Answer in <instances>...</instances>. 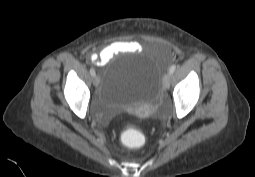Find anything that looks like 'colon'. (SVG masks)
I'll use <instances>...</instances> for the list:
<instances>
[{
    "label": "colon",
    "mask_w": 255,
    "mask_h": 177,
    "mask_svg": "<svg viewBox=\"0 0 255 177\" xmlns=\"http://www.w3.org/2000/svg\"><path fill=\"white\" fill-rule=\"evenodd\" d=\"M121 140L129 148H138L143 142V135L137 130H127L122 134Z\"/></svg>",
    "instance_id": "5ec220e1"
}]
</instances>
